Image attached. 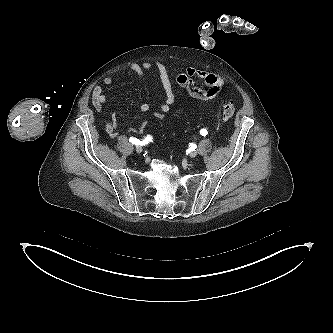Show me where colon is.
Returning <instances> with one entry per match:
<instances>
[{
    "instance_id": "obj_1",
    "label": "colon",
    "mask_w": 333,
    "mask_h": 333,
    "mask_svg": "<svg viewBox=\"0 0 333 333\" xmlns=\"http://www.w3.org/2000/svg\"><path fill=\"white\" fill-rule=\"evenodd\" d=\"M235 113V107L233 103L227 101L223 104V118L228 120L233 117Z\"/></svg>"
}]
</instances>
